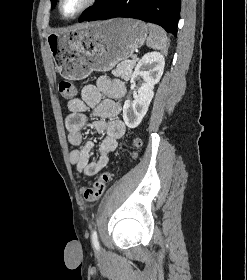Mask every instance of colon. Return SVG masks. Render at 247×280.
<instances>
[{"instance_id":"colon-1","label":"colon","mask_w":247,"mask_h":280,"mask_svg":"<svg viewBox=\"0 0 247 280\" xmlns=\"http://www.w3.org/2000/svg\"><path fill=\"white\" fill-rule=\"evenodd\" d=\"M59 91L61 96L66 100H72L76 95L75 85L68 80H63L59 83ZM134 149H138L141 146V141L138 138L133 140ZM133 151L132 157L136 156V151ZM112 173L104 172L98 176L93 185L82 190L83 196L88 201H94L102 196L104 193L107 184L111 180Z\"/></svg>"}]
</instances>
